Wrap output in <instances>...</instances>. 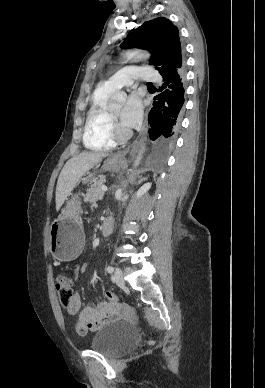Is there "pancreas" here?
Returning <instances> with one entry per match:
<instances>
[{
	"label": "pancreas",
	"mask_w": 265,
	"mask_h": 388,
	"mask_svg": "<svg viewBox=\"0 0 265 388\" xmlns=\"http://www.w3.org/2000/svg\"><path fill=\"white\" fill-rule=\"evenodd\" d=\"M101 186H103V180H95L94 184H91L89 190H87L86 202L102 200L104 192L101 190Z\"/></svg>",
	"instance_id": "obj_1"
}]
</instances>
